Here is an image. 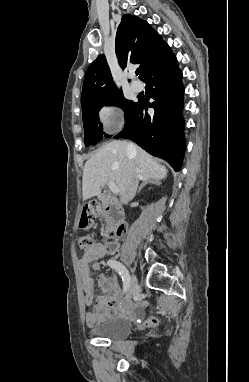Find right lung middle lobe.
<instances>
[{
	"label": "right lung middle lobe",
	"mask_w": 249,
	"mask_h": 382,
	"mask_svg": "<svg viewBox=\"0 0 249 382\" xmlns=\"http://www.w3.org/2000/svg\"><path fill=\"white\" fill-rule=\"evenodd\" d=\"M105 105H115L123 108L126 115V121L130 118L133 113L137 102L127 100L124 98L123 94H118L116 96L104 99H97L88 104L84 109H82V118L84 124V142L85 146L95 145L102 139L101 124L99 122L98 112L101 107ZM105 137L107 135L105 134Z\"/></svg>",
	"instance_id": "obj_1"
}]
</instances>
